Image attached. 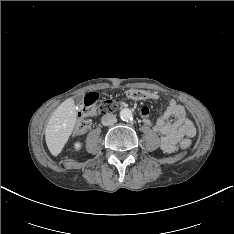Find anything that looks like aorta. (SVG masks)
<instances>
[{"instance_id": "1", "label": "aorta", "mask_w": 234, "mask_h": 234, "mask_svg": "<svg viewBox=\"0 0 234 234\" xmlns=\"http://www.w3.org/2000/svg\"><path fill=\"white\" fill-rule=\"evenodd\" d=\"M133 117V114H132V111L128 108H124L120 111V118L123 120V121H128L130 119H132Z\"/></svg>"}]
</instances>
